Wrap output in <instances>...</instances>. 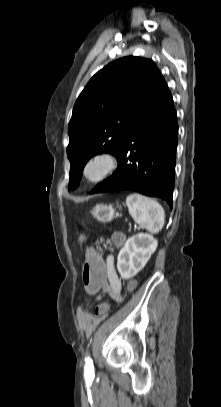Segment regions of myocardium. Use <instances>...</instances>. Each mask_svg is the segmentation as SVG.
I'll return each instance as SVG.
<instances>
[{"label": "myocardium", "mask_w": 221, "mask_h": 407, "mask_svg": "<svg viewBox=\"0 0 221 407\" xmlns=\"http://www.w3.org/2000/svg\"><path fill=\"white\" fill-rule=\"evenodd\" d=\"M97 163L102 165L100 173L95 177L89 176V168ZM119 166L120 159L116 153L100 151L87 158L82 168V176L87 182L98 184L111 177L118 170Z\"/></svg>", "instance_id": "obj_1"}]
</instances>
